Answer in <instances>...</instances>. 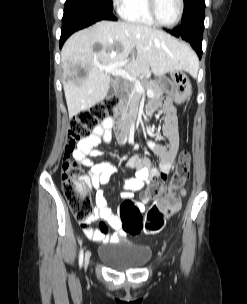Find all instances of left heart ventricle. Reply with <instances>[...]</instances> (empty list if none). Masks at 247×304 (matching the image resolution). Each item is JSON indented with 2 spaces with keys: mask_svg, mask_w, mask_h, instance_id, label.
Here are the masks:
<instances>
[{
  "mask_svg": "<svg viewBox=\"0 0 247 304\" xmlns=\"http://www.w3.org/2000/svg\"><path fill=\"white\" fill-rule=\"evenodd\" d=\"M158 18L165 24L173 23L179 13V0H156Z\"/></svg>",
  "mask_w": 247,
  "mask_h": 304,
  "instance_id": "1",
  "label": "left heart ventricle"
}]
</instances>
